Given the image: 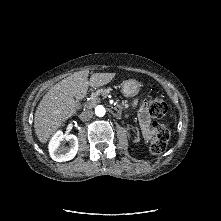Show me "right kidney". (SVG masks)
<instances>
[{
    "label": "right kidney",
    "instance_id": "right-kidney-1",
    "mask_svg": "<svg viewBox=\"0 0 221 221\" xmlns=\"http://www.w3.org/2000/svg\"><path fill=\"white\" fill-rule=\"evenodd\" d=\"M69 146H65V142ZM78 151V139L75 135H65L61 131L57 132L49 143L50 156L54 161L64 162L75 157Z\"/></svg>",
    "mask_w": 221,
    "mask_h": 221
}]
</instances>
